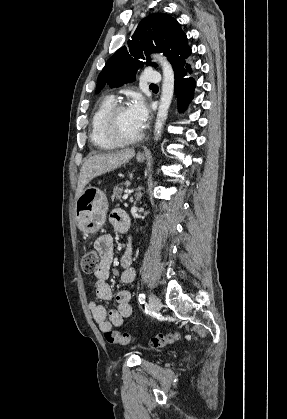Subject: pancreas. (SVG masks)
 Instances as JSON below:
<instances>
[{"label":"pancreas","instance_id":"cf45deb5","mask_svg":"<svg viewBox=\"0 0 287 419\" xmlns=\"http://www.w3.org/2000/svg\"><path fill=\"white\" fill-rule=\"evenodd\" d=\"M121 191H122V188L119 187V184L115 186L113 190V194L111 196V200L114 201V200L120 199Z\"/></svg>","mask_w":287,"mask_h":419}]
</instances>
